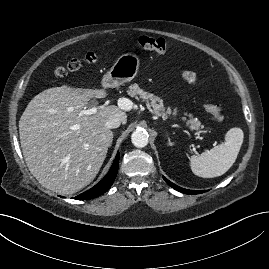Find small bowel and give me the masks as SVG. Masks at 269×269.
<instances>
[{
	"mask_svg": "<svg viewBox=\"0 0 269 269\" xmlns=\"http://www.w3.org/2000/svg\"><path fill=\"white\" fill-rule=\"evenodd\" d=\"M181 77L186 83H188L190 85H195L197 83V76L192 71L182 72Z\"/></svg>",
	"mask_w": 269,
	"mask_h": 269,
	"instance_id": "c3829d8e",
	"label": "small bowel"
}]
</instances>
